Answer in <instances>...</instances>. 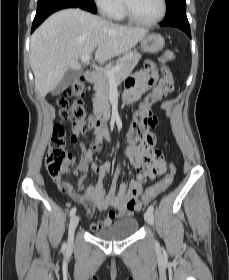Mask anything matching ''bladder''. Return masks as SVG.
<instances>
[{"label": "bladder", "mask_w": 229, "mask_h": 280, "mask_svg": "<svg viewBox=\"0 0 229 280\" xmlns=\"http://www.w3.org/2000/svg\"><path fill=\"white\" fill-rule=\"evenodd\" d=\"M137 228L138 220L136 218H124L105 229L93 231V234L104 240H116L134 235Z\"/></svg>", "instance_id": "31cf9c89"}]
</instances>
